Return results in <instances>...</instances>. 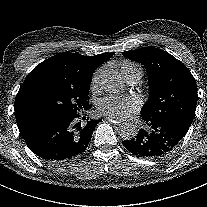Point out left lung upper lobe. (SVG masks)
Listing matches in <instances>:
<instances>
[{
    "label": "left lung upper lobe",
    "mask_w": 207,
    "mask_h": 207,
    "mask_svg": "<svg viewBox=\"0 0 207 207\" xmlns=\"http://www.w3.org/2000/svg\"><path fill=\"white\" fill-rule=\"evenodd\" d=\"M143 64L150 94L142 118H168L189 129L197 104V86L189 69L166 51L144 47L122 53Z\"/></svg>",
    "instance_id": "1"
}]
</instances>
